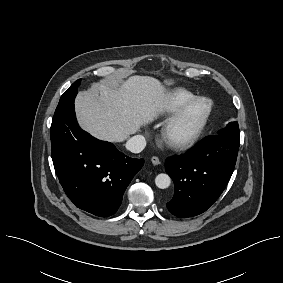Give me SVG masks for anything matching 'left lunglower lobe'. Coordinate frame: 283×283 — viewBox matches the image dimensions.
I'll return each instance as SVG.
<instances>
[{
	"label": "left lung lower lobe",
	"instance_id": "1",
	"mask_svg": "<svg viewBox=\"0 0 283 283\" xmlns=\"http://www.w3.org/2000/svg\"><path fill=\"white\" fill-rule=\"evenodd\" d=\"M239 143L220 135L204 138L188 153L168 158L166 172L174 181L168 210L178 217L205 212L220 196L233 173Z\"/></svg>",
	"mask_w": 283,
	"mask_h": 283
}]
</instances>
